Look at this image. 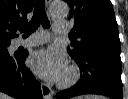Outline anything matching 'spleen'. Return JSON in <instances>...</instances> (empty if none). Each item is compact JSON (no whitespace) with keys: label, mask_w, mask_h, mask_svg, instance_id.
I'll use <instances>...</instances> for the list:
<instances>
[{"label":"spleen","mask_w":128,"mask_h":99,"mask_svg":"<svg viewBox=\"0 0 128 99\" xmlns=\"http://www.w3.org/2000/svg\"><path fill=\"white\" fill-rule=\"evenodd\" d=\"M98 96H88L87 99H98Z\"/></svg>","instance_id":"3e777b00"}]
</instances>
